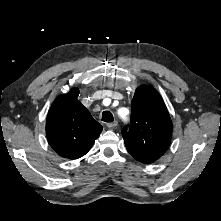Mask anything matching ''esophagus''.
I'll return each mask as SVG.
<instances>
[{"label":"esophagus","mask_w":221,"mask_h":221,"mask_svg":"<svg viewBox=\"0 0 221 221\" xmlns=\"http://www.w3.org/2000/svg\"><path fill=\"white\" fill-rule=\"evenodd\" d=\"M118 125V122L117 121H114V122H110V123H107L106 126L108 128H114Z\"/></svg>","instance_id":"esophagus-1"}]
</instances>
